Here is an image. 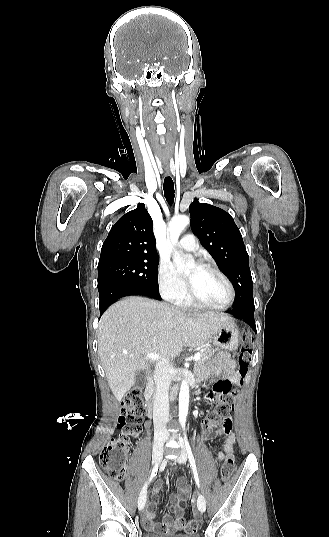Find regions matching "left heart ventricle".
<instances>
[{
    "instance_id": "b2bd125f",
    "label": "left heart ventricle",
    "mask_w": 329,
    "mask_h": 537,
    "mask_svg": "<svg viewBox=\"0 0 329 537\" xmlns=\"http://www.w3.org/2000/svg\"><path fill=\"white\" fill-rule=\"evenodd\" d=\"M195 295L206 303L223 305L229 299V290L223 279L216 273L192 266L187 272Z\"/></svg>"
}]
</instances>
